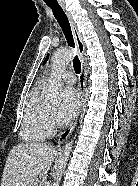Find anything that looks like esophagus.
Segmentation results:
<instances>
[{
    "instance_id": "1",
    "label": "esophagus",
    "mask_w": 138,
    "mask_h": 186,
    "mask_svg": "<svg viewBox=\"0 0 138 186\" xmlns=\"http://www.w3.org/2000/svg\"><path fill=\"white\" fill-rule=\"evenodd\" d=\"M60 6L62 7L63 11L66 13L68 20L70 22L71 28H72V32H73V37L77 46V50H78V54L80 57V61H81V65H82V72L81 75L79 77V91H80V107L79 110L75 116V118L73 119V121L71 122V124L69 125V127L62 132L57 139L58 144H61L65 139H67L69 137V135L72 133V131L74 130L79 115L81 113L83 104H84V92H85V86H86V77H87V70H86V60H85V45L80 37V34L78 32L77 29V25L73 20L72 15L70 14V12L66 9L64 2H62L60 0Z\"/></svg>"
}]
</instances>
